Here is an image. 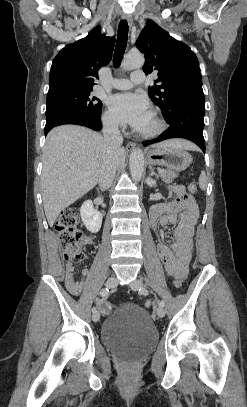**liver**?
<instances>
[{"label":"liver","mask_w":247,"mask_h":407,"mask_svg":"<svg viewBox=\"0 0 247 407\" xmlns=\"http://www.w3.org/2000/svg\"><path fill=\"white\" fill-rule=\"evenodd\" d=\"M171 146L194 150L196 146L183 139L168 140L156 146ZM107 147L97 132L77 125H62L52 129L43 149L41 175L45 215L53 226L63 209L93 189L100 176ZM117 166L126 158L123 148L114 151Z\"/></svg>","instance_id":"liver-1"}]
</instances>
